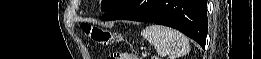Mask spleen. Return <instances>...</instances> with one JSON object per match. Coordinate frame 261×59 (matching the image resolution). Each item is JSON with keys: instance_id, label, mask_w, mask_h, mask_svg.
Here are the masks:
<instances>
[{"instance_id": "3e777b00", "label": "spleen", "mask_w": 261, "mask_h": 59, "mask_svg": "<svg viewBox=\"0 0 261 59\" xmlns=\"http://www.w3.org/2000/svg\"><path fill=\"white\" fill-rule=\"evenodd\" d=\"M141 36L154 46L161 57L176 59L189 53L188 39L175 29L152 24L141 31Z\"/></svg>"}]
</instances>
